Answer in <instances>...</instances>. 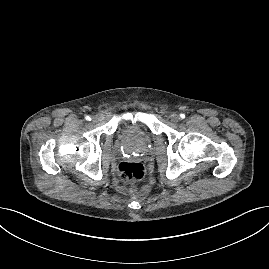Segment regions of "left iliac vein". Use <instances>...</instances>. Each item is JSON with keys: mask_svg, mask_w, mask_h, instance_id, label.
<instances>
[{"mask_svg": "<svg viewBox=\"0 0 269 269\" xmlns=\"http://www.w3.org/2000/svg\"><path fill=\"white\" fill-rule=\"evenodd\" d=\"M179 116L178 115H176V114H173L172 116H171V122L172 123H178L179 122Z\"/></svg>", "mask_w": 269, "mask_h": 269, "instance_id": "obj_1", "label": "left iliac vein"}]
</instances>
